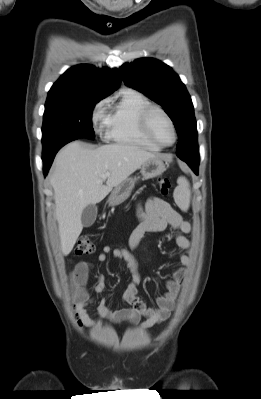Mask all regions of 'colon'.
Here are the masks:
<instances>
[{
  "mask_svg": "<svg viewBox=\"0 0 261 399\" xmlns=\"http://www.w3.org/2000/svg\"><path fill=\"white\" fill-rule=\"evenodd\" d=\"M158 187H159V191L163 195H167L171 188L170 179L166 176L160 177L158 179ZM94 249H95V243L91 239L90 236L81 235L78 238L76 246H75V253L77 255L81 256V255L90 254L94 251Z\"/></svg>",
  "mask_w": 261,
  "mask_h": 399,
  "instance_id": "obj_1",
  "label": "colon"
}]
</instances>
